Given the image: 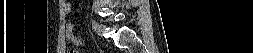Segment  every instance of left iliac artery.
<instances>
[{"label": "left iliac artery", "mask_w": 253, "mask_h": 53, "mask_svg": "<svg viewBox=\"0 0 253 53\" xmlns=\"http://www.w3.org/2000/svg\"><path fill=\"white\" fill-rule=\"evenodd\" d=\"M92 27L94 30H97V28H98V24L95 20H92Z\"/></svg>", "instance_id": "left-iliac-artery-1"}]
</instances>
